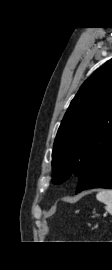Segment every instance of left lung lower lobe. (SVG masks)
I'll return each mask as SVG.
<instances>
[{
    "label": "left lung lower lobe",
    "mask_w": 112,
    "mask_h": 270,
    "mask_svg": "<svg viewBox=\"0 0 112 270\" xmlns=\"http://www.w3.org/2000/svg\"><path fill=\"white\" fill-rule=\"evenodd\" d=\"M89 188L112 189V147L105 153L91 173L78 183L76 193Z\"/></svg>",
    "instance_id": "obj_1"
}]
</instances>
